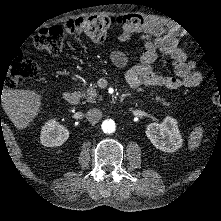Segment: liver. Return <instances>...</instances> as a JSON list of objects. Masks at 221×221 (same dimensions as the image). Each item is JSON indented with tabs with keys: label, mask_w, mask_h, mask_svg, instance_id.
I'll list each match as a JSON object with an SVG mask.
<instances>
[{
	"label": "liver",
	"mask_w": 221,
	"mask_h": 221,
	"mask_svg": "<svg viewBox=\"0 0 221 221\" xmlns=\"http://www.w3.org/2000/svg\"><path fill=\"white\" fill-rule=\"evenodd\" d=\"M38 98L31 92L7 90L2 99L3 111L16 128L25 127L36 114Z\"/></svg>",
	"instance_id": "liver-1"
}]
</instances>
